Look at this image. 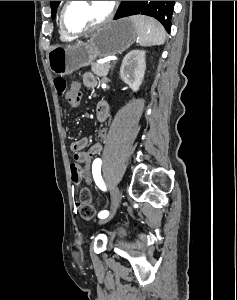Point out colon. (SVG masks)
Segmentation results:
<instances>
[{
    "label": "colon",
    "instance_id": "colon-1",
    "mask_svg": "<svg viewBox=\"0 0 237 300\" xmlns=\"http://www.w3.org/2000/svg\"><path fill=\"white\" fill-rule=\"evenodd\" d=\"M56 93L59 97L67 100L71 107H77L81 100V91L75 94H70L67 81L64 78L58 77L54 79ZM80 180L77 173L72 175V184L74 188L79 186ZM80 214L84 219H91L94 216L95 210L91 202V193L88 188H83L80 192V201L78 202Z\"/></svg>",
    "mask_w": 237,
    "mask_h": 300
}]
</instances>
